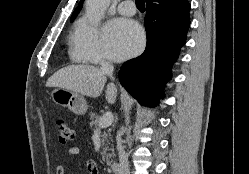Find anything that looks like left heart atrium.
<instances>
[{"mask_svg": "<svg viewBox=\"0 0 249 174\" xmlns=\"http://www.w3.org/2000/svg\"><path fill=\"white\" fill-rule=\"evenodd\" d=\"M143 44L142 28L133 20L117 18L105 28V51L112 60H123L136 55L141 51Z\"/></svg>", "mask_w": 249, "mask_h": 174, "instance_id": "obj_1", "label": "left heart atrium"}]
</instances>
